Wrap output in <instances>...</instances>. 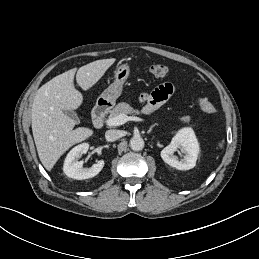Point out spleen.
Listing matches in <instances>:
<instances>
[{
  "label": "spleen",
  "mask_w": 259,
  "mask_h": 259,
  "mask_svg": "<svg viewBox=\"0 0 259 259\" xmlns=\"http://www.w3.org/2000/svg\"><path fill=\"white\" fill-rule=\"evenodd\" d=\"M219 146H220V147H222V146H223V142H222V143H220V144H219Z\"/></svg>",
  "instance_id": "spleen-1"
}]
</instances>
